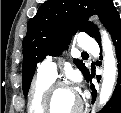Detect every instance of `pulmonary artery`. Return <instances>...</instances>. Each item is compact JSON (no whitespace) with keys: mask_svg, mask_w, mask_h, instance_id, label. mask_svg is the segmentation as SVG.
Listing matches in <instances>:
<instances>
[{"mask_svg":"<svg viewBox=\"0 0 121 113\" xmlns=\"http://www.w3.org/2000/svg\"><path fill=\"white\" fill-rule=\"evenodd\" d=\"M80 46L82 50L86 51H95L96 43L95 41L89 37L84 36L81 38ZM38 73L44 75L48 78L55 79L57 76V63L53 59L44 60L38 68Z\"/></svg>","mask_w":121,"mask_h":113,"instance_id":"obj_1","label":"pulmonary artery"}]
</instances>
